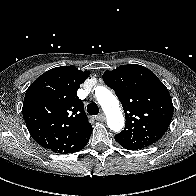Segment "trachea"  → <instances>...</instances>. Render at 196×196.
<instances>
[{"mask_svg":"<svg viewBox=\"0 0 196 196\" xmlns=\"http://www.w3.org/2000/svg\"><path fill=\"white\" fill-rule=\"evenodd\" d=\"M87 111L91 115H98L99 113V107L95 102H91L87 106Z\"/></svg>","mask_w":196,"mask_h":196,"instance_id":"1","label":"trachea"}]
</instances>
